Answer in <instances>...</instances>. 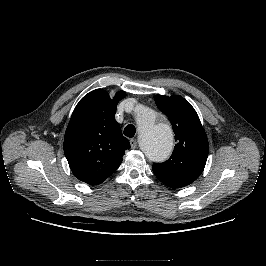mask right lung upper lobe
Instances as JSON below:
<instances>
[{"instance_id":"right-lung-upper-lobe-1","label":"right lung upper lobe","mask_w":266,"mask_h":266,"mask_svg":"<svg viewBox=\"0 0 266 266\" xmlns=\"http://www.w3.org/2000/svg\"><path fill=\"white\" fill-rule=\"evenodd\" d=\"M124 91L111 99L96 89L85 95L75 107L64 138V153L79 180L98 185L107 179L122 162L129 141L122 135L114 119L117 103Z\"/></svg>"}]
</instances>
